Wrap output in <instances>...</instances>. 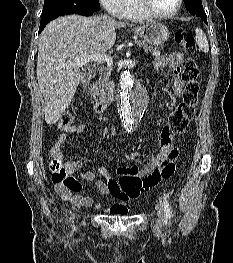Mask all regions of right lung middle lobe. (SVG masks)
<instances>
[{"mask_svg": "<svg viewBox=\"0 0 233 263\" xmlns=\"http://www.w3.org/2000/svg\"><path fill=\"white\" fill-rule=\"evenodd\" d=\"M81 7L97 11L98 0H45L41 21H51L59 16L76 14Z\"/></svg>", "mask_w": 233, "mask_h": 263, "instance_id": "right-lung-middle-lobe-1", "label": "right lung middle lobe"}]
</instances>
